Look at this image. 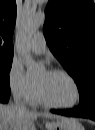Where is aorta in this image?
I'll use <instances>...</instances> for the list:
<instances>
[{
	"label": "aorta",
	"instance_id": "762f6f07",
	"mask_svg": "<svg viewBox=\"0 0 95 130\" xmlns=\"http://www.w3.org/2000/svg\"><path fill=\"white\" fill-rule=\"evenodd\" d=\"M44 21H45L44 13L27 15L24 17L19 27V33H18L19 52L26 62L27 73L29 75H33L38 71V66H36L31 61L29 41L32 35L44 23Z\"/></svg>",
	"mask_w": 95,
	"mask_h": 130
}]
</instances>
